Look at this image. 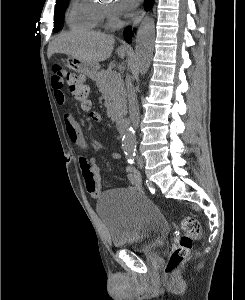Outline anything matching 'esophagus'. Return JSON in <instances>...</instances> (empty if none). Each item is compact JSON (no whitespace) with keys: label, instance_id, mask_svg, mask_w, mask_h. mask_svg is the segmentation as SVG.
Segmentation results:
<instances>
[{"label":"esophagus","instance_id":"esophagus-1","mask_svg":"<svg viewBox=\"0 0 245 300\" xmlns=\"http://www.w3.org/2000/svg\"><path fill=\"white\" fill-rule=\"evenodd\" d=\"M144 10L143 9H140L137 13H136V15H135V17H134V19H133V22H132V26L134 27L135 25H137L141 20H142V18H143V16H144Z\"/></svg>","mask_w":245,"mask_h":300}]
</instances>
